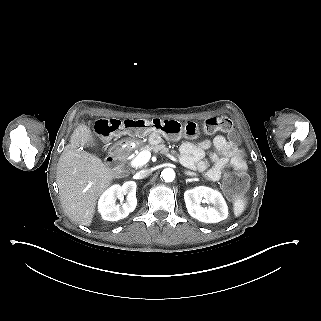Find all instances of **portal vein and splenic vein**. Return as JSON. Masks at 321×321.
<instances>
[{
    "label": "portal vein and splenic vein",
    "instance_id": "1",
    "mask_svg": "<svg viewBox=\"0 0 321 321\" xmlns=\"http://www.w3.org/2000/svg\"><path fill=\"white\" fill-rule=\"evenodd\" d=\"M151 158V152L144 150L141 151L132 161H131V166L132 167H138V166H142L146 163L149 162Z\"/></svg>",
    "mask_w": 321,
    "mask_h": 321
}]
</instances>
